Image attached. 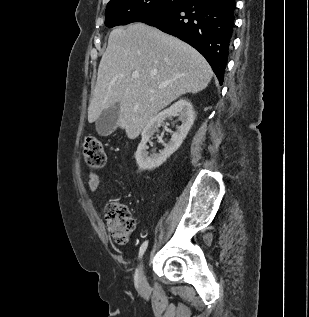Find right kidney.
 I'll use <instances>...</instances> for the list:
<instances>
[{"mask_svg": "<svg viewBox=\"0 0 309 317\" xmlns=\"http://www.w3.org/2000/svg\"><path fill=\"white\" fill-rule=\"evenodd\" d=\"M178 116L181 125L178 130L173 133L168 144L159 154H149L147 152V142L158 132L161 124L168 118ZM195 119V112L191 103L185 99H181L170 106L168 109L163 110L158 115L153 117L142 131V140L138 145L135 153L137 165L140 170H152L162 165L168 157H170L182 144L186 138L190 128Z\"/></svg>", "mask_w": 309, "mask_h": 317, "instance_id": "1", "label": "right kidney"}]
</instances>
